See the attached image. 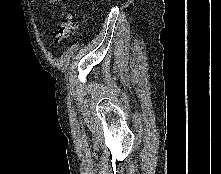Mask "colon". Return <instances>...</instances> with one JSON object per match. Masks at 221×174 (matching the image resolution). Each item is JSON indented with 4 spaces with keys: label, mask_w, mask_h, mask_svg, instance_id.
<instances>
[{
    "label": "colon",
    "mask_w": 221,
    "mask_h": 174,
    "mask_svg": "<svg viewBox=\"0 0 221 174\" xmlns=\"http://www.w3.org/2000/svg\"><path fill=\"white\" fill-rule=\"evenodd\" d=\"M78 22L74 15L69 14L63 19L55 32V39L58 42L67 40L73 37L76 33Z\"/></svg>",
    "instance_id": "5ec220e1"
}]
</instances>
